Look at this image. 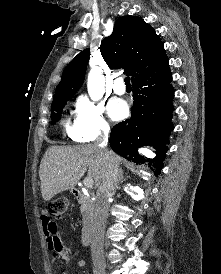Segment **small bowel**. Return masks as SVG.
Instances as JSON below:
<instances>
[{
  "label": "small bowel",
  "mask_w": 221,
  "mask_h": 274,
  "mask_svg": "<svg viewBox=\"0 0 221 274\" xmlns=\"http://www.w3.org/2000/svg\"><path fill=\"white\" fill-rule=\"evenodd\" d=\"M40 221L48 249L53 253L55 259L61 262H67L69 260L66 257L68 252L63 248L60 238L57 235V224L55 220L44 210L40 215ZM78 264L83 266L84 261L80 260Z\"/></svg>",
  "instance_id": "obj_1"
}]
</instances>
